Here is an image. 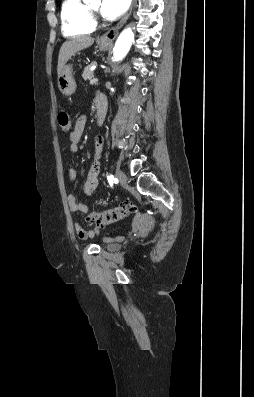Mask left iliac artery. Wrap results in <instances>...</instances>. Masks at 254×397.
Returning <instances> with one entry per match:
<instances>
[{
  "label": "left iliac artery",
  "instance_id": "left-iliac-artery-1",
  "mask_svg": "<svg viewBox=\"0 0 254 397\" xmlns=\"http://www.w3.org/2000/svg\"><path fill=\"white\" fill-rule=\"evenodd\" d=\"M107 179H108V182H109V184L112 186L113 185V183H116L117 182V180L114 178V176L112 175V174H109L108 176H107Z\"/></svg>",
  "mask_w": 254,
  "mask_h": 397
}]
</instances>
